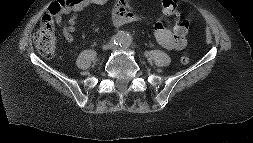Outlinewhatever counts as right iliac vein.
Instances as JSON below:
<instances>
[{
	"label": "right iliac vein",
	"mask_w": 253,
	"mask_h": 143,
	"mask_svg": "<svg viewBox=\"0 0 253 143\" xmlns=\"http://www.w3.org/2000/svg\"><path fill=\"white\" fill-rule=\"evenodd\" d=\"M111 48H112V44H111V43L105 44V45H103V47H102V49H103L104 51H107V50H109V49H111Z\"/></svg>",
	"instance_id": "1"
}]
</instances>
